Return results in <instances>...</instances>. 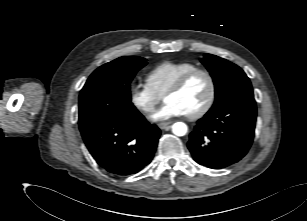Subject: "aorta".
<instances>
[{
  "label": "aorta",
  "mask_w": 307,
  "mask_h": 221,
  "mask_svg": "<svg viewBox=\"0 0 307 221\" xmlns=\"http://www.w3.org/2000/svg\"><path fill=\"white\" fill-rule=\"evenodd\" d=\"M188 131V127L183 122H176L172 125V132L176 136H184Z\"/></svg>",
  "instance_id": "762f6f07"
}]
</instances>
